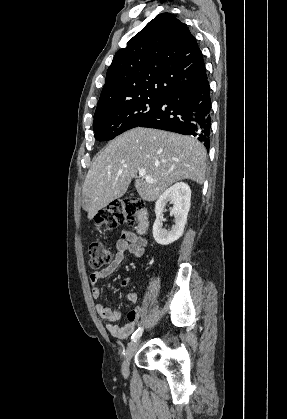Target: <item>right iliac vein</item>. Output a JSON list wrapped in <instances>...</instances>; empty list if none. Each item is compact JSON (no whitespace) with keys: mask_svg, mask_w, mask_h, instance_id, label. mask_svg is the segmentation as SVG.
Returning <instances> with one entry per match:
<instances>
[{"mask_svg":"<svg viewBox=\"0 0 287 419\" xmlns=\"http://www.w3.org/2000/svg\"><path fill=\"white\" fill-rule=\"evenodd\" d=\"M138 344H139V340L133 341L129 344V346L126 350L125 358H124L123 364H122V372H123L124 375H128V373H129V363H130V360L133 357L134 353L136 352Z\"/></svg>","mask_w":287,"mask_h":419,"instance_id":"right-iliac-vein-1","label":"right iliac vein"}]
</instances>
